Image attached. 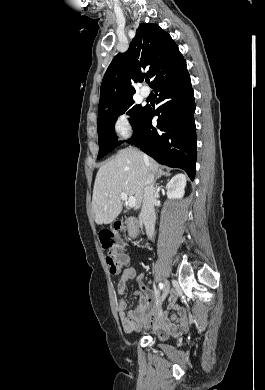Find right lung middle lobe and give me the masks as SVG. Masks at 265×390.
I'll use <instances>...</instances> for the list:
<instances>
[{
	"mask_svg": "<svg viewBox=\"0 0 265 390\" xmlns=\"http://www.w3.org/2000/svg\"><path fill=\"white\" fill-rule=\"evenodd\" d=\"M147 108L148 106L143 107L137 105L133 99H130L98 114V159L114 150L117 144H121V142H117V137L114 132V123L118 116L124 113L131 116V125L135 129L143 120Z\"/></svg>",
	"mask_w": 265,
	"mask_h": 390,
	"instance_id": "right-lung-middle-lobe-1",
	"label": "right lung middle lobe"
}]
</instances>
